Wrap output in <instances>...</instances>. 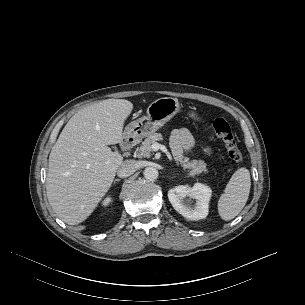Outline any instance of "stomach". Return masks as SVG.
Listing matches in <instances>:
<instances>
[{"mask_svg": "<svg viewBox=\"0 0 305 305\" xmlns=\"http://www.w3.org/2000/svg\"><path fill=\"white\" fill-rule=\"evenodd\" d=\"M180 109L181 106L177 98H159L149 105L147 115L132 121L126 126L124 134L125 136L137 138L152 135L172 119ZM189 116L194 120H199V117L194 112L190 113ZM210 151V148L205 149L207 154Z\"/></svg>", "mask_w": 305, "mask_h": 305, "instance_id": "stomach-1", "label": "stomach"}]
</instances>
